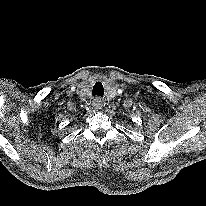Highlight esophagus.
Returning a JSON list of instances; mask_svg holds the SVG:
<instances>
[{"mask_svg": "<svg viewBox=\"0 0 206 206\" xmlns=\"http://www.w3.org/2000/svg\"><path fill=\"white\" fill-rule=\"evenodd\" d=\"M92 105L96 110H100L102 108V100L100 98H95Z\"/></svg>", "mask_w": 206, "mask_h": 206, "instance_id": "34e87169", "label": "esophagus"}]
</instances>
